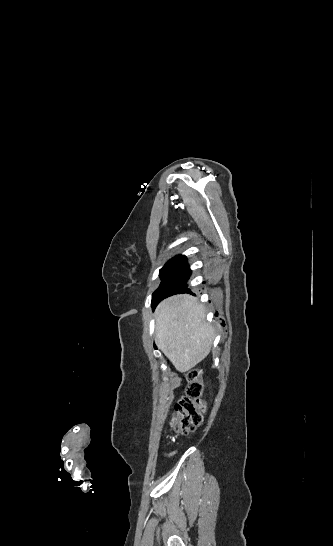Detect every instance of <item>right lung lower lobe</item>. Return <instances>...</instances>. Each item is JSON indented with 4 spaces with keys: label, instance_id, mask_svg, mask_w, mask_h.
Listing matches in <instances>:
<instances>
[{
    "label": "right lung lower lobe",
    "instance_id": "1",
    "mask_svg": "<svg viewBox=\"0 0 333 546\" xmlns=\"http://www.w3.org/2000/svg\"><path fill=\"white\" fill-rule=\"evenodd\" d=\"M191 275L190 267L184 257L163 276L160 286L152 295V306H155L164 298L175 294L191 293L187 289V281Z\"/></svg>",
    "mask_w": 333,
    "mask_h": 546
}]
</instances>
